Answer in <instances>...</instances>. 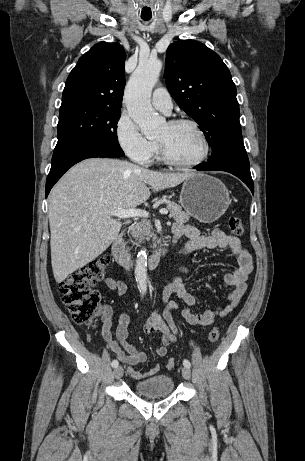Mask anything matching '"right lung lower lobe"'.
I'll use <instances>...</instances> for the list:
<instances>
[{
    "mask_svg": "<svg viewBox=\"0 0 305 461\" xmlns=\"http://www.w3.org/2000/svg\"><path fill=\"white\" fill-rule=\"evenodd\" d=\"M124 156L102 144L83 142L55 147L51 169L46 180V197L53 185L74 164L93 157L118 158Z\"/></svg>",
    "mask_w": 305,
    "mask_h": 461,
    "instance_id": "right-lung-lower-lobe-1",
    "label": "right lung lower lobe"
}]
</instances>
